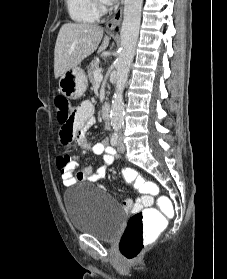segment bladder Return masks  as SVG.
I'll use <instances>...</instances> for the list:
<instances>
[{"mask_svg":"<svg viewBox=\"0 0 227 279\" xmlns=\"http://www.w3.org/2000/svg\"><path fill=\"white\" fill-rule=\"evenodd\" d=\"M63 205L76 231L101 241H112L122 230L124 217L120 203L107 195H97L83 184L64 193Z\"/></svg>","mask_w":227,"mask_h":279,"instance_id":"1","label":"bladder"}]
</instances>
